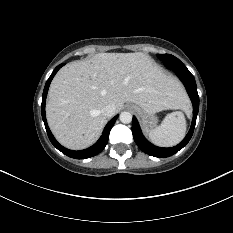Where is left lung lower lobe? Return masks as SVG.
Returning <instances> with one entry per match:
<instances>
[{
  "instance_id": "left-lung-lower-lobe-1",
  "label": "left lung lower lobe",
  "mask_w": 233,
  "mask_h": 233,
  "mask_svg": "<svg viewBox=\"0 0 233 233\" xmlns=\"http://www.w3.org/2000/svg\"><path fill=\"white\" fill-rule=\"evenodd\" d=\"M174 71L176 75L179 77V79L183 82L184 86L186 87V90L193 104V119H192L191 128L188 134L186 135V137L183 139V141L180 142L177 146L170 148L157 147L145 139V137L141 132L138 121L135 117H133V122H132V133L138 147L146 154L158 158H164L174 155L189 142L194 132L196 118L199 111V96H198L197 86L194 76L190 73V71L187 68L177 67L174 68Z\"/></svg>"
}]
</instances>
